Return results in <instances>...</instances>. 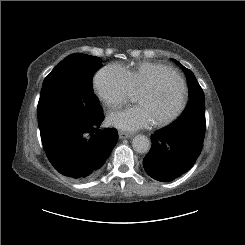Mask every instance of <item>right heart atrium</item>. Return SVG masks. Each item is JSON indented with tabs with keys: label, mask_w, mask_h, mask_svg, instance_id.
<instances>
[{
	"label": "right heart atrium",
	"mask_w": 245,
	"mask_h": 245,
	"mask_svg": "<svg viewBox=\"0 0 245 245\" xmlns=\"http://www.w3.org/2000/svg\"><path fill=\"white\" fill-rule=\"evenodd\" d=\"M93 86L99 99L108 106L120 105L134 94L126 69L115 63L108 64L95 73Z\"/></svg>",
	"instance_id": "right-heart-atrium-1"
}]
</instances>
